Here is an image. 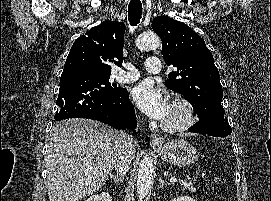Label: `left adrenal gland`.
Instances as JSON below:
<instances>
[{"mask_svg": "<svg viewBox=\"0 0 271 201\" xmlns=\"http://www.w3.org/2000/svg\"><path fill=\"white\" fill-rule=\"evenodd\" d=\"M169 184H170V183H169V182H165L161 176L159 177V185H158V188H162V187H164V186H166V185H169Z\"/></svg>", "mask_w": 271, "mask_h": 201, "instance_id": "a2214340", "label": "left adrenal gland"}]
</instances>
